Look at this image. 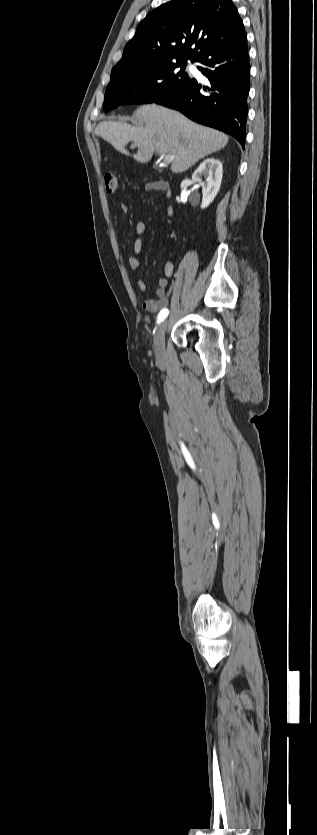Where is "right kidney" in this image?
Wrapping results in <instances>:
<instances>
[{"mask_svg":"<svg viewBox=\"0 0 317 835\" xmlns=\"http://www.w3.org/2000/svg\"><path fill=\"white\" fill-rule=\"evenodd\" d=\"M222 170L220 160L207 158L192 174V180L202 186V209L208 207L216 197L221 186ZM202 176L204 177V181H202Z\"/></svg>","mask_w":317,"mask_h":835,"instance_id":"right-kidney-1","label":"right kidney"}]
</instances>
